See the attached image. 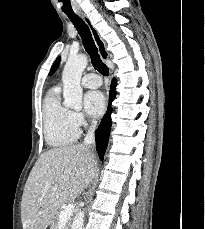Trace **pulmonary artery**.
Here are the masks:
<instances>
[{"label": "pulmonary artery", "instance_id": "obj_1", "mask_svg": "<svg viewBox=\"0 0 205 229\" xmlns=\"http://www.w3.org/2000/svg\"><path fill=\"white\" fill-rule=\"evenodd\" d=\"M101 84L102 80L96 73H87L82 78V85L86 88H97Z\"/></svg>", "mask_w": 205, "mask_h": 229}]
</instances>
